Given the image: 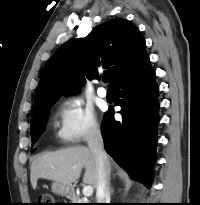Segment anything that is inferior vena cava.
Returning a JSON list of instances; mask_svg holds the SVG:
<instances>
[{
    "label": "inferior vena cava",
    "mask_w": 200,
    "mask_h": 205,
    "mask_svg": "<svg viewBox=\"0 0 200 205\" xmlns=\"http://www.w3.org/2000/svg\"><path fill=\"white\" fill-rule=\"evenodd\" d=\"M89 149L97 163L98 183L96 190L97 203H110V167L104 142L98 127L91 129L87 139Z\"/></svg>",
    "instance_id": "1"
}]
</instances>
